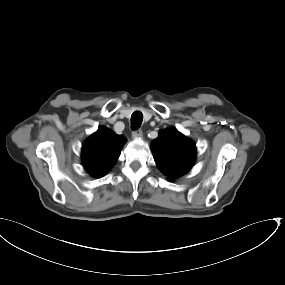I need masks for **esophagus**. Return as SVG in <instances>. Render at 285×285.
Segmentation results:
<instances>
[{
    "mask_svg": "<svg viewBox=\"0 0 285 285\" xmlns=\"http://www.w3.org/2000/svg\"><path fill=\"white\" fill-rule=\"evenodd\" d=\"M132 136L136 139H140L142 137V131L140 129L134 130Z\"/></svg>",
    "mask_w": 285,
    "mask_h": 285,
    "instance_id": "esophagus-1",
    "label": "esophagus"
}]
</instances>
